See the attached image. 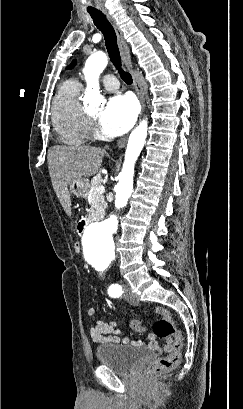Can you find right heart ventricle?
<instances>
[{
	"mask_svg": "<svg viewBox=\"0 0 243 409\" xmlns=\"http://www.w3.org/2000/svg\"><path fill=\"white\" fill-rule=\"evenodd\" d=\"M81 84L66 80L59 88L52 104V123L61 141L81 145L90 137V122L79 99Z\"/></svg>",
	"mask_w": 243,
	"mask_h": 409,
	"instance_id": "obj_1",
	"label": "right heart ventricle"
}]
</instances>
